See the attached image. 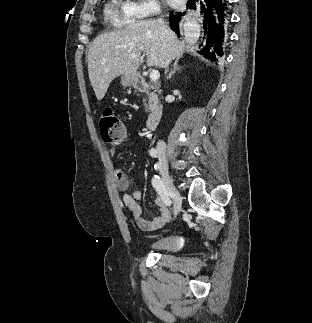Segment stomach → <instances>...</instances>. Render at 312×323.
Listing matches in <instances>:
<instances>
[{
    "label": "stomach",
    "mask_w": 312,
    "mask_h": 323,
    "mask_svg": "<svg viewBox=\"0 0 312 323\" xmlns=\"http://www.w3.org/2000/svg\"><path fill=\"white\" fill-rule=\"evenodd\" d=\"M136 82H138V76L136 72H134V74H123L121 78V84L122 86H125V88H127V86H134Z\"/></svg>",
    "instance_id": "1"
}]
</instances>
